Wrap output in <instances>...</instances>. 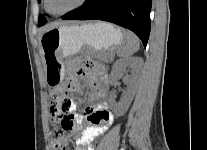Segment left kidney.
Segmentation results:
<instances>
[{
    "label": "left kidney",
    "instance_id": "obj_1",
    "mask_svg": "<svg viewBox=\"0 0 207 150\" xmlns=\"http://www.w3.org/2000/svg\"><path fill=\"white\" fill-rule=\"evenodd\" d=\"M139 63L140 60L138 58H125L116 61L115 64L113 65L112 72H111L112 82H114L119 75H122L127 67L136 69ZM132 82H133L132 78L126 79V83L131 85ZM134 96H135V88L133 87V85H131L120 102L118 103L115 102L113 98L110 99L112 111L117 116L124 115L127 112Z\"/></svg>",
    "mask_w": 207,
    "mask_h": 150
}]
</instances>
